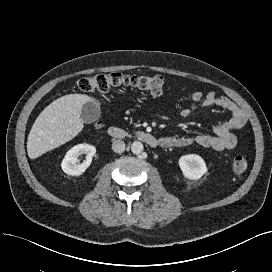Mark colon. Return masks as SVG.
<instances>
[{
  "label": "colon",
  "instance_id": "5ec220e1",
  "mask_svg": "<svg viewBox=\"0 0 272 272\" xmlns=\"http://www.w3.org/2000/svg\"><path fill=\"white\" fill-rule=\"evenodd\" d=\"M122 87H132L152 95H160L165 87V79L160 75H125L112 72L84 77L78 82V88L84 93H107ZM232 167L234 172L243 173L248 168V161L244 156L237 155L233 159Z\"/></svg>",
  "mask_w": 272,
  "mask_h": 272
}]
</instances>
